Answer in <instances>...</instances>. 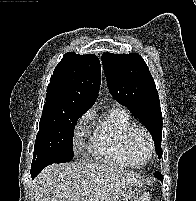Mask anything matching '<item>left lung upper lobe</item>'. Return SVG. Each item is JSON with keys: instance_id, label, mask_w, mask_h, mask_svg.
<instances>
[{"instance_id": "left-lung-upper-lobe-1", "label": "left lung upper lobe", "mask_w": 196, "mask_h": 201, "mask_svg": "<svg viewBox=\"0 0 196 201\" xmlns=\"http://www.w3.org/2000/svg\"><path fill=\"white\" fill-rule=\"evenodd\" d=\"M109 90L150 131L158 158L162 157V114L155 82L138 53H104L101 57Z\"/></svg>"}]
</instances>
